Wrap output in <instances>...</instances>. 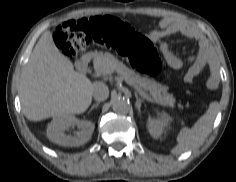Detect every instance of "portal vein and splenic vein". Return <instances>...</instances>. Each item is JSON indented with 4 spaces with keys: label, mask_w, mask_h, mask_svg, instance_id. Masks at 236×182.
Listing matches in <instances>:
<instances>
[{
    "label": "portal vein and splenic vein",
    "mask_w": 236,
    "mask_h": 182,
    "mask_svg": "<svg viewBox=\"0 0 236 182\" xmlns=\"http://www.w3.org/2000/svg\"><path fill=\"white\" fill-rule=\"evenodd\" d=\"M125 82H126L128 85L132 86L134 89H136V91H138V93H139L142 97L146 98V99L149 100V101H153L152 98H151L148 94H146L141 88H139L131 79L125 78Z\"/></svg>",
    "instance_id": "portal-vein-and-splenic-vein-1"
}]
</instances>
